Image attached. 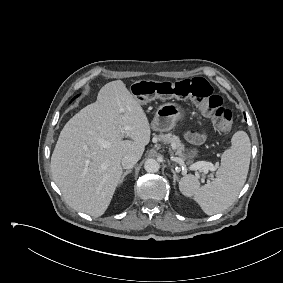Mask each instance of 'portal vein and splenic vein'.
<instances>
[{
    "mask_svg": "<svg viewBox=\"0 0 283 283\" xmlns=\"http://www.w3.org/2000/svg\"><path fill=\"white\" fill-rule=\"evenodd\" d=\"M192 170L202 169L203 173L207 174L209 170H215V167L212 163L206 161H199L191 166Z\"/></svg>",
    "mask_w": 283,
    "mask_h": 283,
    "instance_id": "portal-vein-and-splenic-vein-1",
    "label": "portal vein and splenic vein"
}]
</instances>
